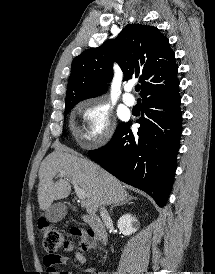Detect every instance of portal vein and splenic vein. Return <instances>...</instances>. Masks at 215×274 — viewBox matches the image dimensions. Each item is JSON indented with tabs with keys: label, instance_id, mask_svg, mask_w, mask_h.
I'll use <instances>...</instances> for the list:
<instances>
[{
	"label": "portal vein and splenic vein",
	"instance_id": "obj_1",
	"mask_svg": "<svg viewBox=\"0 0 215 274\" xmlns=\"http://www.w3.org/2000/svg\"><path fill=\"white\" fill-rule=\"evenodd\" d=\"M60 175L64 176V175H66V173L61 172ZM71 183L73 184V187H74V190H75V193H76L78 199L84 201L86 199L85 191L83 189H81V187H79V185L72 179H71Z\"/></svg>",
	"mask_w": 215,
	"mask_h": 274
}]
</instances>
